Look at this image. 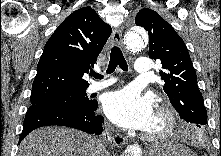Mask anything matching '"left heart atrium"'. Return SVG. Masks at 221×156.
I'll use <instances>...</instances> for the list:
<instances>
[{
    "label": "left heart atrium",
    "instance_id": "1",
    "mask_svg": "<svg viewBox=\"0 0 221 156\" xmlns=\"http://www.w3.org/2000/svg\"><path fill=\"white\" fill-rule=\"evenodd\" d=\"M103 110L112 122L131 130H148L156 116L152 99L130 86L107 94Z\"/></svg>",
    "mask_w": 221,
    "mask_h": 156
}]
</instances>
